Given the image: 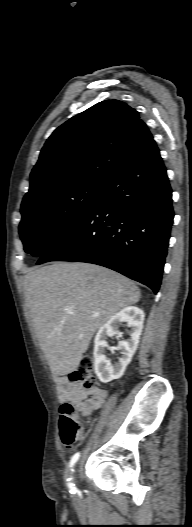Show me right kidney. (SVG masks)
I'll return each instance as SVG.
<instances>
[{"label": "right kidney", "instance_id": "1", "mask_svg": "<svg viewBox=\"0 0 192 527\" xmlns=\"http://www.w3.org/2000/svg\"><path fill=\"white\" fill-rule=\"evenodd\" d=\"M143 321V310L135 306H129L115 314L100 327L95 336L93 355L94 370L101 382L108 383L123 375L138 347ZM123 322H127L128 327L131 328L130 338L118 342V348L121 350L122 356L112 365L105 356V348L108 347L107 339L119 333L118 328Z\"/></svg>", "mask_w": 192, "mask_h": 527}]
</instances>
